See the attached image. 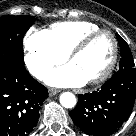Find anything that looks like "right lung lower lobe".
I'll return each instance as SVG.
<instances>
[{
	"mask_svg": "<svg viewBox=\"0 0 136 136\" xmlns=\"http://www.w3.org/2000/svg\"><path fill=\"white\" fill-rule=\"evenodd\" d=\"M47 97L25 67H0V136H28Z\"/></svg>",
	"mask_w": 136,
	"mask_h": 136,
	"instance_id": "1",
	"label": "right lung lower lobe"
}]
</instances>
